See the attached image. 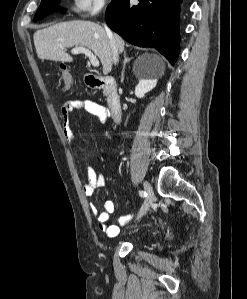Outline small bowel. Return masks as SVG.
I'll use <instances>...</instances> for the list:
<instances>
[{"label":"small bowel","instance_id":"c3829d8e","mask_svg":"<svg viewBox=\"0 0 247 299\" xmlns=\"http://www.w3.org/2000/svg\"><path fill=\"white\" fill-rule=\"evenodd\" d=\"M74 110H84L97 117L100 121H105L109 116V110L104 105L92 100L77 99L64 102L61 107V121L64 136L69 143H74L75 141V135L70 126V113ZM86 174L87 180L83 185V193L86 196H92L97 188L105 186L106 180L90 164L86 166ZM89 207L98 227L109 237L117 236L119 226L126 225L133 218V214L121 215L117 218V224H108L110 215L115 210V204L112 200L104 202L103 211H100L93 203Z\"/></svg>","mask_w":247,"mask_h":299}]
</instances>
